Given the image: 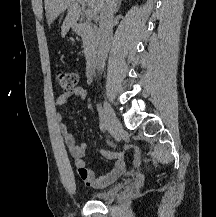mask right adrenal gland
<instances>
[{"mask_svg": "<svg viewBox=\"0 0 216 217\" xmlns=\"http://www.w3.org/2000/svg\"><path fill=\"white\" fill-rule=\"evenodd\" d=\"M121 3H122V0H119V1H118V5H117V9H116V11L119 10V8H120V6H121Z\"/></svg>", "mask_w": 216, "mask_h": 217, "instance_id": "right-adrenal-gland-1", "label": "right adrenal gland"}]
</instances>
